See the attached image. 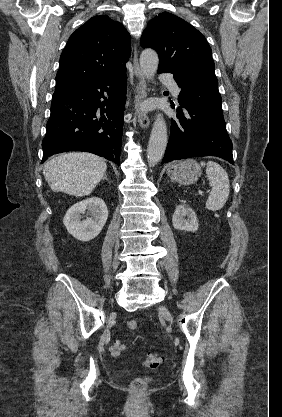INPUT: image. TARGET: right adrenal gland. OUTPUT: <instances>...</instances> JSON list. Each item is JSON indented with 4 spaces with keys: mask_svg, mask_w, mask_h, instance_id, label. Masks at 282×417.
I'll list each match as a JSON object with an SVG mask.
<instances>
[{
    "mask_svg": "<svg viewBox=\"0 0 282 417\" xmlns=\"http://www.w3.org/2000/svg\"><path fill=\"white\" fill-rule=\"evenodd\" d=\"M106 180H108L107 176H105Z\"/></svg>",
    "mask_w": 282,
    "mask_h": 417,
    "instance_id": "1",
    "label": "right adrenal gland"
}]
</instances>
